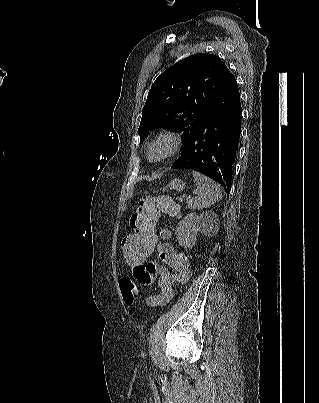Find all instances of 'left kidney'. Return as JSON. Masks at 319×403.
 <instances>
[{"mask_svg": "<svg viewBox=\"0 0 319 403\" xmlns=\"http://www.w3.org/2000/svg\"><path fill=\"white\" fill-rule=\"evenodd\" d=\"M209 219L217 220V215L212 211H206L200 216L194 213L185 216L175 231L179 245L185 249L192 248L197 240L198 232H207L206 224Z\"/></svg>", "mask_w": 319, "mask_h": 403, "instance_id": "1", "label": "left kidney"}]
</instances>
